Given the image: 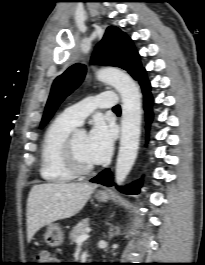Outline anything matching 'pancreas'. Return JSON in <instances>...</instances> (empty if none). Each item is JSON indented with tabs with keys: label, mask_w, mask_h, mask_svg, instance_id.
Returning <instances> with one entry per match:
<instances>
[{
	"label": "pancreas",
	"mask_w": 205,
	"mask_h": 265,
	"mask_svg": "<svg viewBox=\"0 0 205 265\" xmlns=\"http://www.w3.org/2000/svg\"><path fill=\"white\" fill-rule=\"evenodd\" d=\"M88 221V219H83L73 227L72 231L69 234L72 243H75L79 236L86 234L87 229L89 228Z\"/></svg>",
	"instance_id": "pancreas-1"
}]
</instances>
